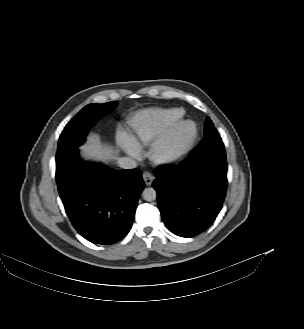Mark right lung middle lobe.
I'll return each mask as SVG.
<instances>
[{
	"mask_svg": "<svg viewBox=\"0 0 304 329\" xmlns=\"http://www.w3.org/2000/svg\"><path fill=\"white\" fill-rule=\"evenodd\" d=\"M117 105L116 101L85 106L62 131L56 159L76 150L84 141L89 129L105 114Z\"/></svg>",
	"mask_w": 304,
	"mask_h": 329,
	"instance_id": "dd1d6c3e",
	"label": "right lung middle lobe"
}]
</instances>
